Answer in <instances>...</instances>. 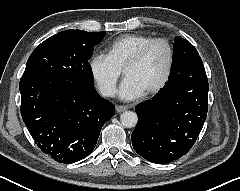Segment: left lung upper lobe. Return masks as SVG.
I'll list each match as a JSON object with an SVG mask.
<instances>
[{"label":"left lung upper lobe","mask_w":240,"mask_h":191,"mask_svg":"<svg viewBox=\"0 0 240 191\" xmlns=\"http://www.w3.org/2000/svg\"><path fill=\"white\" fill-rule=\"evenodd\" d=\"M174 41L175 43L173 45L174 52L173 70L181 64L194 65L197 67L204 68L202 60L197 50L189 41L181 38L180 36L175 37Z\"/></svg>","instance_id":"obj_1"}]
</instances>
